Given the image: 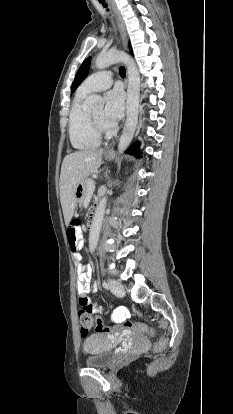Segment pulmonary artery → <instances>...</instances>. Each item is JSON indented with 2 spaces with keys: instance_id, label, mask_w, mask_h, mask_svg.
Here are the masks:
<instances>
[{
  "instance_id": "e3ab8cb5",
  "label": "pulmonary artery",
  "mask_w": 233,
  "mask_h": 414,
  "mask_svg": "<svg viewBox=\"0 0 233 414\" xmlns=\"http://www.w3.org/2000/svg\"><path fill=\"white\" fill-rule=\"evenodd\" d=\"M113 83V75L110 71H100L86 78L80 88L91 93L109 88Z\"/></svg>"
}]
</instances>
